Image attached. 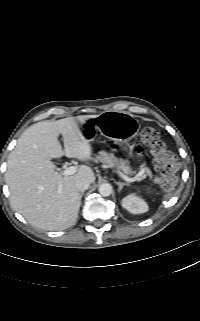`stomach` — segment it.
I'll return each instance as SVG.
<instances>
[{"label":"stomach","instance_id":"1","mask_svg":"<svg viewBox=\"0 0 200 321\" xmlns=\"http://www.w3.org/2000/svg\"><path fill=\"white\" fill-rule=\"evenodd\" d=\"M79 127L88 141H92L99 131L104 137L125 144L137 135L140 128L131 114L121 111H105L91 116L80 122Z\"/></svg>","mask_w":200,"mask_h":321}]
</instances>
